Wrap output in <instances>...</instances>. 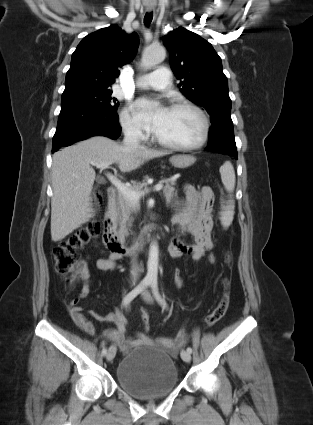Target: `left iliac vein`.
Segmentation results:
<instances>
[{
    "mask_svg": "<svg viewBox=\"0 0 313 425\" xmlns=\"http://www.w3.org/2000/svg\"><path fill=\"white\" fill-rule=\"evenodd\" d=\"M143 295H144V298L146 300H148V301L150 300V295L148 294V292H144ZM181 358L185 362H190V360H191V354L189 352H187L186 350H182L181 351Z\"/></svg>",
    "mask_w": 313,
    "mask_h": 425,
    "instance_id": "left-iliac-vein-1",
    "label": "left iliac vein"
}]
</instances>
